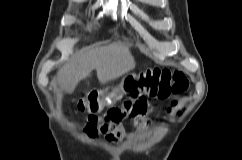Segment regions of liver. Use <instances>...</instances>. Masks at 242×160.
Returning a JSON list of instances; mask_svg holds the SVG:
<instances>
[{
  "mask_svg": "<svg viewBox=\"0 0 242 160\" xmlns=\"http://www.w3.org/2000/svg\"><path fill=\"white\" fill-rule=\"evenodd\" d=\"M135 60L128 47L113 43L74 55L58 70V84L72 93L78 83L96 70L98 80L106 84L135 68Z\"/></svg>",
  "mask_w": 242,
  "mask_h": 160,
  "instance_id": "obj_1",
  "label": "liver"
}]
</instances>
